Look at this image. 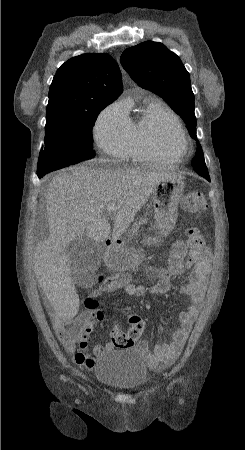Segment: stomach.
Wrapping results in <instances>:
<instances>
[{"mask_svg": "<svg viewBox=\"0 0 245 450\" xmlns=\"http://www.w3.org/2000/svg\"><path fill=\"white\" fill-rule=\"evenodd\" d=\"M185 184L180 178H166L155 185L153 191V210L155 226L161 234L174 227L178 206L182 201ZM144 255L137 249L121 244L111 245L105 252V262L116 271L133 270L143 261Z\"/></svg>", "mask_w": 245, "mask_h": 450, "instance_id": "0dacf381", "label": "stomach"}]
</instances>
